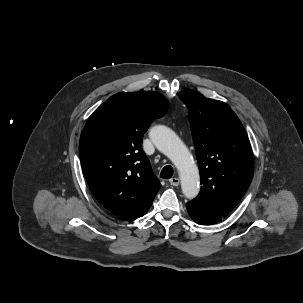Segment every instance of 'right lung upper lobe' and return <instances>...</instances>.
<instances>
[{
	"label": "right lung upper lobe",
	"instance_id": "right-lung-upper-lobe-1",
	"mask_svg": "<svg viewBox=\"0 0 303 303\" xmlns=\"http://www.w3.org/2000/svg\"><path fill=\"white\" fill-rule=\"evenodd\" d=\"M157 92H121L89 117L80 137V160L95 198L113 215L133 220L151 207L161 184L141 150L143 134L167 112Z\"/></svg>",
	"mask_w": 303,
	"mask_h": 303
}]
</instances>
